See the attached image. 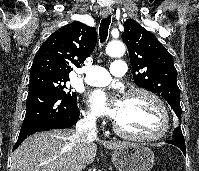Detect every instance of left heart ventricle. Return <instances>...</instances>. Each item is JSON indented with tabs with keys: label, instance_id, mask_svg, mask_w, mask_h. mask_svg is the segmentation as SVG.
<instances>
[{
	"label": "left heart ventricle",
	"instance_id": "1",
	"mask_svg": "<svg viewBox=\"0 0 199 171\" xmlns=\"http://www.w3.org/2000/svg\"><path fill=\"white\" fill-rule=\"evenodd\" d=\"M115 121L123 130L140 135H154L162 125L161 116L155 104L143 94L124 98Z\"/></svg>",
	"mask_w": 199,
	"mask_h": 171
}]
</instances>
